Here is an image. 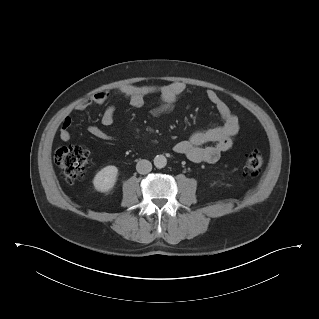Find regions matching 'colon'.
<instances>
[{"mask_svg": "<svg viewBox=\"0 0 319 319\" xmlns=\"http://www.w3.org/2000/svg\"><path fill=\"white\" fill-rule=\"evenodd\" d=\"M88 159V151L80 145L61 147L55 155L56 164L68 181H78L85 177ZM263 163L264 159L261 151L253 149L246 156L244 170L246 173H256L261 170Z\"/></svg>", "mask_w": 319, "mask_h": 319, "instance_id": "5ec220e1", "label": "colon"}]
</instances>
